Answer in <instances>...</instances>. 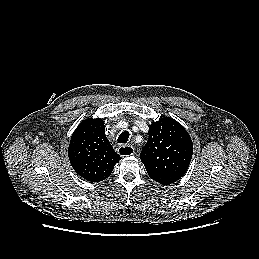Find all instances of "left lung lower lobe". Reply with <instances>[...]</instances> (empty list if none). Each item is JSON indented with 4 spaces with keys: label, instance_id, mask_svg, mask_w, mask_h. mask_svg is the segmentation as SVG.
<instances>
[{
    "label": "left lung lower lobe",
    "instance_id": "obj_1",
    "mask_svg": "<svg viewBox=\"0 0 259 259\" xmlns=\"http://www.w3.org/2000/svg\"><path fill=\"white\" fill-rule=\"evenodd\" d=\"M178 179H180V178L177 176L164 175L161 178L156 179L155 181H157L163 185H168V184H171V183L177 181Z\"/></svg>",
    "mask_w": 259,
    "mask_h": 259
}]
</instances>
